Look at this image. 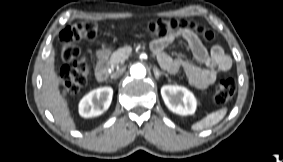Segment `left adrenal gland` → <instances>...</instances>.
<instances>
[{
    "label": "left adrenal gland",
    "mask_w": 283,
    "mask_h": 162,
    "mask_svg": "<svg viewBox=\"0 0 283 162\" xmlns=\"http://www.w3.org/2000/svg\"><path fill=\"white\" fill-rule=\"evenodd\" d=\"M153 71H154V75H155V78H156V79H159V77H160L161 75H165L166 77H168V74L159 71L156 66H154Z\"/></svg>",
    "instance_id": "obj_1"
}]
</instances>
